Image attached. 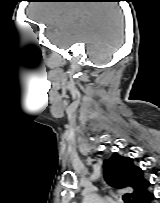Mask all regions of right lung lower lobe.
Returning a JSON list of instances; mask_svg holds the SVG:
<instances>
[{"mask_svg": "<svg viewBox=\"0 0 160 203\" xmlns=\"http://www.w3.org/2000/svg\"><path fill=\"white\" fill-rule=\"evenodd\" d=\"M153 198V194L149 193L148 195H146L140 203H150L151 200Z\"/></svg>", "mask_w": 160, "mask_h": 203, "instance_id": "1", "label": "right lung lower lobe"}]
</instances>
